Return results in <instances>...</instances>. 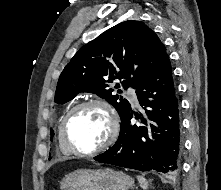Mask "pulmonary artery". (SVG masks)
<instances>
[{"mask_svg":"<svg viewBox=\"0 0 221 190\" xmlns=\"http://www.w3.org/2000/svg\"><path fill=\"white\" fill-rule=\"evenodd\" d=\"M128 96L129 98L131 99V101L134 103V104H137L138 103V99H137V96L134 92L132 91H129L128 92Z\"/></svg>","mask_w":221,"mask_h":190,"instance_id":"obj_1","label":"pulmonary artery"}]
</instances>
